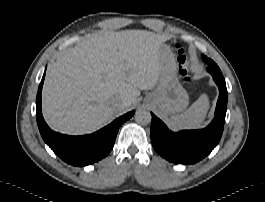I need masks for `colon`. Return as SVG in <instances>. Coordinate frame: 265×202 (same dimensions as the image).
I'll return each mask as SVG.
<instances>
[{"label":"colon","instance_id":"5ec220e1","mask_svg":"<svg viewBox=\"0 0 265 202\" xmlns=\"http://www.w3.org/2000/svg\"><path fill=\"white\" fill-rule=\"evenodd\" d=\"M181 60H180V68L183 72L187 73L188 71V62H187V57L184 54V51L181 50Z\"/></svg>","mask_w":265,"mask_h":202}]
</instances>
